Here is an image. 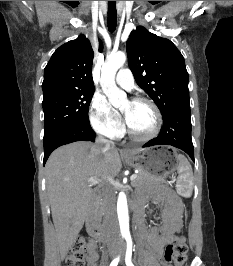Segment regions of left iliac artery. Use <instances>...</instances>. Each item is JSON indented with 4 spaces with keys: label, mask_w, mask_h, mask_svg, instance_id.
Returning <instances> with one entry per match:
<instances>
[{
    "label": "left iliac artery",
    "mask_w": 233,
    "mask_h": 266,
    "mask_svg": "<svg viewBox=\"0 0 233 266\" xmlns=\"http://www.w3.org/2000/svg\"><path fill=\"white\" fill-rule=\"evenodd\" d=\"M125 262L127 266H134L132 262V239L131 237L127 238V250H126Z\"/></svg>",
    "instance_id": "obj_1"
}]
</instances>
